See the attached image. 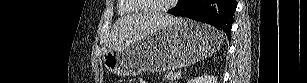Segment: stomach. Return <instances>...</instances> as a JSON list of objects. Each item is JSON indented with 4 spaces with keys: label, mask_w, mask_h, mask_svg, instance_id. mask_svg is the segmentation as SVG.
Wrapping results in <instances>:
<instances>
[{
    "label": "stomach",
    "mask_w": 307,
    "mask_h": 83,
    "mask_svg": "<svg viewBox=\"0 0 307 83\" xmlns=\"http://www.w3.org/2000/svg\"><path fill=\"white\" fill-rule=\"evenodd\" d=\"M219 31L182 18L164 25L134 43L108 50L104 66L118 76L163 72L194 64L220 47Z\"/></svg>",
    "instance_id": "obj_1"
}]
</instances>
